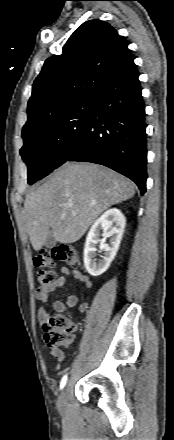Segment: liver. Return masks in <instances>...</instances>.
I'll list each match as a JSON object with an SVG mask.
<instances>
[{
	"label": "liver",
	"instance_id": "liver-1",
	"mask_svg": "<svg viewBox=\"0 0 174 440\" xmlns=\"http://www.w3.org/2000/svg\"><path fill=\"white\" fill-rule=\"evenodd\" d=\"M135 187L119 173L92 163H65L27 194L23 217L34 250L52 230L56 241L74 243L112 205L132 198Z\"/></svg>",
	"mask_w": 174,
	"mask_h": 440
}]
</instances>
